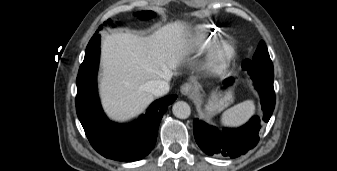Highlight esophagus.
Segmentation results:
<instances>
[{
    "label": "esophagus",
    "instance_id": "1",
    "mask_svg": "<svg viewBox=\"0 0 337 171\" xmlns=\"http://www.w3.org/2000/svg\"><path fill=\"white\" fill-rule=\"evenodd\" d=\"M180 91L185 96H191L194 92V86L190 82H186L180 87Z\"/></svg>",
    "mask_w": 337,
    "mask_h": 171
}]
</instances>
